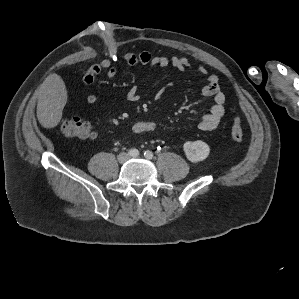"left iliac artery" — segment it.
I'll use <instances>...</instances> for the list:
<instances>
[{
  "mask_svg": "<svg viewBox=\"0 0 299 299\" xmlns=\"http://www.w3.org/2000/svg\"><path fill=\"white\" fill-rule=\"evenodd\" d=\"M144 156L147 158V159H152L153 158V153L151 151H145L144 152Z\"/></svg>",
  "mask_w": 299,
  "mask_h": 299,
  "instance_id": "obj_1",
  "label": "left iliac artery"
}]
</instances>
